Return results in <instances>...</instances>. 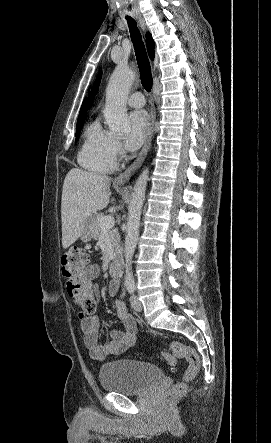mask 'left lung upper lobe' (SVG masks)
I'll use <instances>...</instances> for the list:
<instances>
[{"mask_svg": "<svg viewBox=\"0 0 271 443\" xmlns=\"http://www.w3.org/2000/svg\"><path fill=\"white\" fill-rule=\"evenodd\" d=\"M101 76H102V73L100 72L99 75H98V77H97V79H96V81H95V83H94V85H93L92 92H91L90 95H89V105H88L89 107H90V105H91V103H92V101H93L94 96H95V95L97 94V92H98V88H99V84H100Z\"/></svg>", "mask_w": 271, "mask_h": 443, "instance_id": "5c2ea615", "label": "left lung upper lobe"}]
</instances>
